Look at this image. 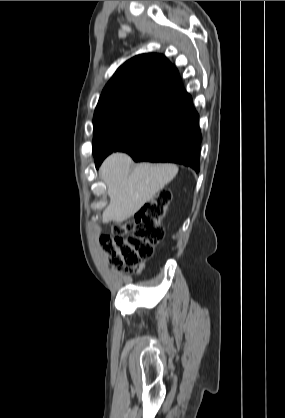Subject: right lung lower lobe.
Here are the masks:
<instances>
[{
	"mask_svg": "<svg viewBox=\"0 0 285 418\" xmlns=\"http://www.w3.org/2000/svg\"><path fill=\"white\" fill-rule=\"evenodd\" d=\"M201 140L199 114L191 100L120 151L128 153L136 162H172L198 172ZM103 160L96 159V167Z\"/></svg>",
	"mask_w": 285,
	"mask_h": 418,
	"instance_id": "obj_1",
	"label": "right lung lower lobe"
}]
</instances>
